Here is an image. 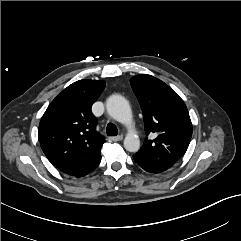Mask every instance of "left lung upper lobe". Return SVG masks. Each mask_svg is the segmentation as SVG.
Returning a JSON list of instances; mask_svg holds the SVG:
<instances>
[{"instance_id":"5c2ea615","label":"left lung upper lobe","mask_w":241,"mask_h":241,"mask_svg":"<svg viewBox=\"0 0 241 241\" xmlns=\"http://www.w3.org/2000/svg\"><path fill=\"white\" fill-rule=\"evenodd\" d=\"M130 84L143 111L146 134L157 135L145 139L134 161L148 172L165 171L189 146L192 124L187 107L174 90L151 75L134 76Z\"/></svg>"}]
</instances>
